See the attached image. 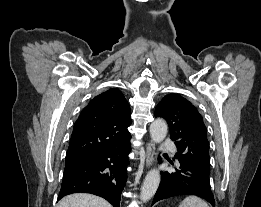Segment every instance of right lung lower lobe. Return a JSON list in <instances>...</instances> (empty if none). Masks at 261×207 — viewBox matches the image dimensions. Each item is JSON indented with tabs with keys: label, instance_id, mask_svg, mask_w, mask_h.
Instances as JSON below:
<instances>
[{
	"label": "right lung lower lobe",
	"instance_id": "obj_1",
	"mask_svg": "<svg viewBox=\"0 0 261 207\" xmlns=\"http://www.w3.org/2000/svg\"><path fill=\"white\" fill-rule=\"evenodd\" d=\"M130 141L126 144L66 163L58 200L77 192L105 198L114 207L120 206V196L127 179Z\"/></svg>",
	"mask_w": 261,
	"mask_h": 207
}]
</instances>
